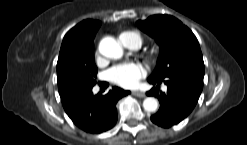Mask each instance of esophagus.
I'll list each match as a JSON object with an SVG mask.
<instances>
[{"label": "esophagus", "instance_id": "1", "mask_svg": "<svg viewBox=\"0 0 247 145\" xmlns=\"http://www.w3.org/2000/svg\"><path fill=\"white\" fill-rule=\"evenodd\" d=\"M133 95H135L137 97H140V98L145 97V93L144 92H141V91H134L133 92Z\"/></svg>", "mask_w": 247, "mask_h": 145}]
</instances>
